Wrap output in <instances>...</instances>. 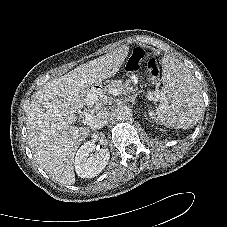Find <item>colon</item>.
Masks as SVG:
<instances>
[{
  "instance_id": "1",
  "label": "colon",
  "mask_w": 227,
  "mask_h": 227,
  "mask_svg": "<svg viewBox=\"0 0 227 227\" xmlns=\"http://www.w3.org/2000/svg\"><path fill=\"white\" fill-rule=\"evenodd\" d=\"M146 67L150 80L153 84H159L160 82V70L159 66L153 57H146L142 48H135L126 62V70L128 72L138 71L143 67Z\"/></svg>"
}]
</instances>
